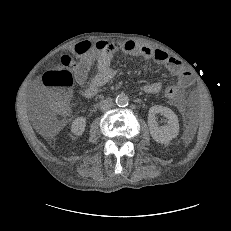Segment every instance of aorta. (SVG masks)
Returning <instances> with one entry per match:
<instances>
[{
    "label": "aorta",
    "mask_w": 231,
    "mask_h": 231,
    "mask_svg": "<svg viewBox=\"0 0 231 231\" xmlns=\"http://www.w3.org/2000/svg\"><path fill=\"white\" fill-rule=\"evenodd\" d=\"M128 103H129V97L126 94L121 93L116 97V104L118 106L124 107L127 106Z\"/></svg>",
    "instance_id": "obj_1"
}]
</instances>
